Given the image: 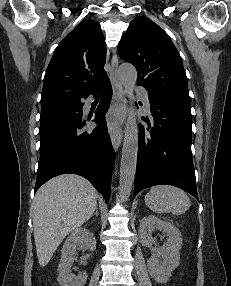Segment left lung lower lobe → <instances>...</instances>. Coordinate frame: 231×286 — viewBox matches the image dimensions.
Instances as JSON below:
<instances>
[{
  "mask_svg": "<svg viewBox=\"0 0 231 286\" xmlns=\"http://www.w3.org/2000/svg\"><path fill=\"white\" fill-rule=\"evenodd\" d=\"M153 123L140 127L134 197L159 184L179 187L196 199L191 155L190 101L148 91Z\"/></svg>",
  "mask_w": 231,
  "mask_h": 286,
  "instance_id": "1",
  "label": "left lung lower lobe"
}]
</instances>
